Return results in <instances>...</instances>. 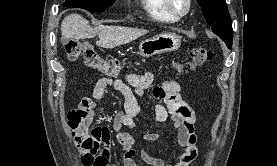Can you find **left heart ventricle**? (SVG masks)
<instances>
[{
    "label": "left heart ventricle",
    "mask_w": 277,
    "mask_h": 166,
    "mask_svg": "<svg viewBox=\"0 0 277 166\" xmlns=\"http://www.w3.org/2000/svg\"><path fill=\"white\" fill-rule=\"evenodd\" d=\"M171 5L177 12H182L186 8V0H170Z\"/></svg>",
    "instance_id": "obj_1"
}]
</instances>
